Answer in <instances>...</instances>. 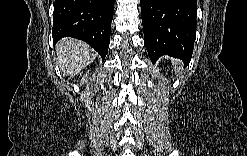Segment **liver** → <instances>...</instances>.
Returning a JSON list of instances; mask_svg holds the SVG:
<instances>
[{
    "instance_id": "liver-1",
    "label": "liver",
    "mask_w": 247,
    "mask_h": 156,
    "mask_svg": "<svg viewBox=\"0 0 247 156\" xmlns=\"http://www.w3.org/2000/svg\"><path fill=\"white\" fill-rule=\"evenodd\" d=\"M95 58V51L83 41L64 38L56 46V64L65 75L74 76L78 74Z\"/></svg>"
}]
</instances>
